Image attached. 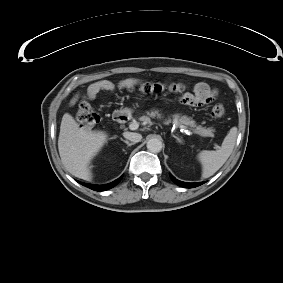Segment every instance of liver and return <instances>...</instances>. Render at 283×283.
<instances>
[{"label":"liver","instance_id":"liver-1","mask_svg":"<svg viewBox=\"0 0 283 283\" xmlns=\"http://www.w3.org/2000/svg\"><path fill=\"white\" fill-rule=\"evenodd\" d=\"M105 139V135L82 133L74 118L65 114L62 117L58 137L61 164L72 176L89 180L92 174L88 165L92 157L101 149Z\"/></svg>","mask_w":283,"mask_h":283}]
</instances>
